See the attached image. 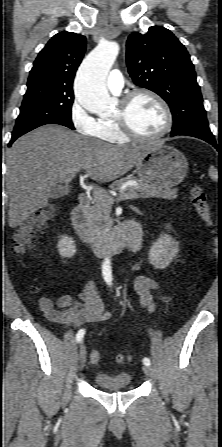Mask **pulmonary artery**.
Masks as SVG:
<instances>
[{"instance_id": "1", "label": "pulmonary artery", "mask_w": 222, "mask_h": 447, "mask_svg": "<svg viewBox=\"0 0 222 447\" xmlns=\"http://www.w3.org/2000/svg\"><path fill=\"white\" fill-rule=\"evenodd\" d=\"M123 86H124V79L121 72L117 69L113 70L107 79L108 89L111 92L118 94L122 90Z\"/></svg>"}]
</instances>
